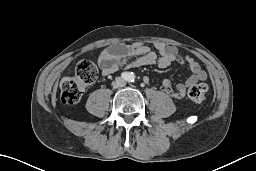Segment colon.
I'll list each match as a JSON object with an SVG mask.
<instances>
[{
  "label": "colon",
  "mask_w": 256,
  "mask_h": 171,
  "mask_svg": "<svg viewBox=\"0 0 256 171\" xmlns=\"http://www.w3.org/2000/svg\"><path fill=\"white\" fill-rule=\"evenodd\" d=\"M98 75L96 66L86 60L78 62L70 74L62 78L59 84L62 103L66 105L76 104L87 85L92 84ZM209 86L205 83H198L190 87L189 99L195 103H203L209 97Z\"/></svg>",
  "instance_id": "obj_1"
}]
</instances>
